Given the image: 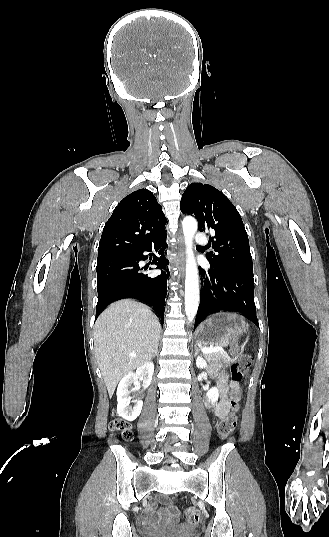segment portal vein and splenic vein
I'll use <instances>...</instances> for the list:
<instances>
[{"instance_id": "18ae733b", "label": "portal vein and splenic vein", "mask_w": 329, "mask_h": 537, "mask_svg": "<svg viewBox=\"0 0 329 537\" xmlns=\"http://www.w3.org/2000/svg\"><path fill=\"white\" fill-rule=\"evenodd\" d=\"M202 351L204 353H212V352H217V351H223V348L219 346H211L209 348H203Z\"/></svg>"}]
</instances>
